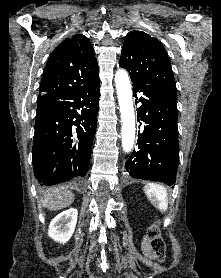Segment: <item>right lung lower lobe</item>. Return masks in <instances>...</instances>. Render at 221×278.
<instances>
[{"instance_id": "obj_1", "label": "right lung lower lobe", "mask_w": 221, "mask_h": 278, "mask_svg": "<svg viewBox=\"0 0 221 278\" xmlns=\"http://www.w3.org/2000/svg\"><path fill=\"white\" fill-rule=\"evenodd\" d=\"M99 85L96 79L75 89L38 97L32 161L41 185L87 173L97 125Z\"/></svg>"}]
</instances>
